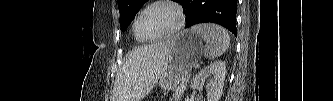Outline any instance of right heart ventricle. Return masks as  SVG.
<instances>
[{"instance_id":"1","label":"right heart ventricle","mask_w":333,"mask_h":101,"mask_svg":"<svg viewBox=\"0 0 333 101\" xmlns=\"http://www.w3.org/2000/svg\"><path fill=\"white\" fill-rule=\"evenodd\" d=\"M134 32H135V30H134ZM135 37L138 41H141V39L137 36L136 32H135Z\"/></svg>"}]
</instances>
